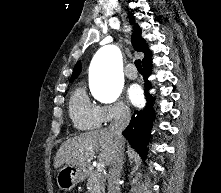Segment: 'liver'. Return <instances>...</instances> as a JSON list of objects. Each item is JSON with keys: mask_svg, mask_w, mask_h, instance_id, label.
<instances>
[{"mask_svg": "<svg viewBox=\"0 0 221 193\" xmlns=\"http://www.w3.org/2000/svg\"><path fill=\"white\" fill-rule=\"evenodd\" d=\"M121 144L124 147V138L121 140ZM89 148L100 151V162L106 165L111 164L117 150L114 134L110 129H102L68 139L57 151L54 158V167L57 169L64 164L85 166L86 161L92 154L88 151Z\"/></svg>", "mask_w": 221, "mask_h": 193, "instance_id": "1", "label": "liver"}]
</instances>
